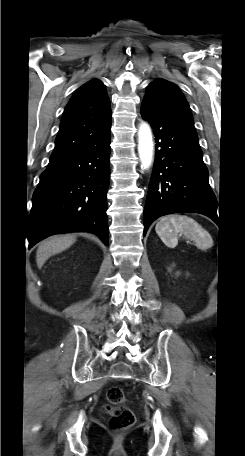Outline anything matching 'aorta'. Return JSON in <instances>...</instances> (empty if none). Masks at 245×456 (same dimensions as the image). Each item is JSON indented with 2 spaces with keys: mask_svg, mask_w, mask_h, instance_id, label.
Wrapping results in <instances>:
<instances>
[{
  "mask_svg": "<svg viewBox=\"0 0 245 456\" xmlns=\"http://www.w3.org/2000/svg\"><path fill=\"white\" fill-rule=\"evenodd\" d=\"M153 149L151 129L147 123H142L138 129V153L142 169H148L151 166Z\"/></svg>",
  "mask_w": 245,
  "mask_h": 456,
  "instance_id": "aorta-1",
  "label": "aorta"
}]
</instances>
